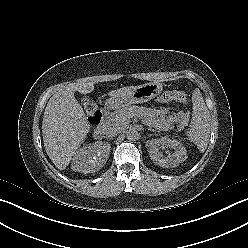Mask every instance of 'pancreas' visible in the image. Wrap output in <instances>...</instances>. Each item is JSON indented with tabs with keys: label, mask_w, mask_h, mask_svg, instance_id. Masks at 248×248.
<instances>
[{
	"label": "pancreas",
	"mask_w": 248,
	"mask_h": 248,
	"mask_svg": "<svg viewBox=\"0 0 248 248\" xmlns=\"http://www.w3.org/2000/svg\"><path fill=\"white\" fill-rule=\"evenodd\" d=\"M133 116L144 118V122L158 131L168 130L178 123L179 128H183L188 123L189 117L186 113L180 111L174 116L165 118L160 111L151 108L129 106L116 110L109 114L108 120L110 125L124 127L130 123Z\"/></svg>",
	"instance_id": "obj_1"
}]
</instances>
